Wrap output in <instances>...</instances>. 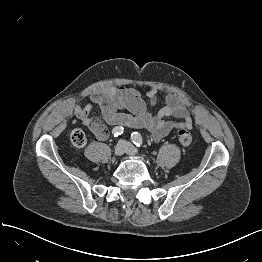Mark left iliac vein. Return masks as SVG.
Segmentation results:
<instances>
[{"label": "left iliac vein", "mask_w": 262, "mask_h": 262, "mask_svg": "<svg viewBox=\"0 0 262 262\" xmlns=\"http://www.w3.org/2000/svg\"><path fill=\"white\" fill-rule=\"evenodd\" d=\"M125 144H126V153L130 156L136 155L137 150L135 149V147L128 142H125Z\"/></svg>", "instance_id": "1"}]
</instances>
